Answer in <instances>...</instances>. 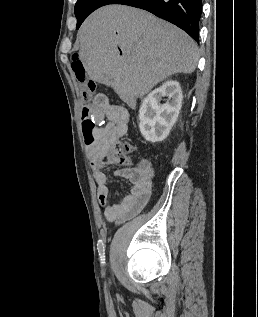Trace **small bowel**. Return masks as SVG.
<instances>
[{
	"instance_id": "obj_1",
	"label": "small bowel",
	"mask_w": 258,
	"mask_h": 317,
	"mask_svg": "<svg viewBox=\"0 0 258 317\" xmlns=\"http://www.w3.org/2000/svg\"><path fill=\"white\" fill-rule=\"evenodd\" d=\"M89 109L99 117L101 123L106 121L101 129L99 142L87 147L97 187V198L99 203L105 206L106 220L121 223L139 214L148 203L154 188L153 165L149 160L142 159L134 166L116 171L115 175L127 179L131 187L120 201L106 206L110 196L106 169L110 163H113L110 151L114 143L127 133L131 116L126 108L110 104L106 96L102 94L96 95ZM86 111L87 108L84 106L82 117ZM114 195L119 196L120 193L116 192Z\"/></svg>"
}]
</instances>
